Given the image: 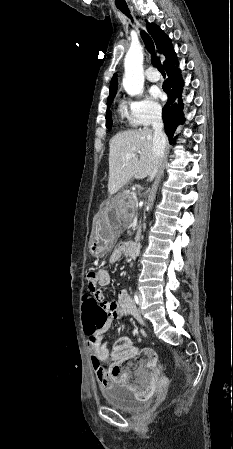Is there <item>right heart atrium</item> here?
<instances>
[{
  "mask_svg": "<svg viewBox=\"0 0 233 449\" xmlns=\"http://www.w3.org/2000/svg\"><path fill=\"white\" fill-rule=\"evenodd\" d=\"M132 116L143 126L156 122L161 115L160 105L149 97H140L130 104Z\"/></svg>",
  "mask_w": 233,
  "mask_h": 449,
  "instance_id": "1",
  "label": "right heart atrium"
}]
</instances>
